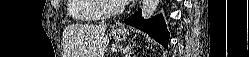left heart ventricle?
<instances>
[{"instance_id":"b2bd125f","label":"left heart ventricle","mask_w":249,"mask_h":57,"mask_svg":"<svg viewBox=\"0 0 249 57\" xmlns=\"http://www.w3.org/2000/svg\"><path fill=\"white\" fill-rule=\"evenodd\" d=\"M107 4L108 7L112 9L115 8L119 4V2L116 0H108Z\"/></svg>"}]
</instances>
